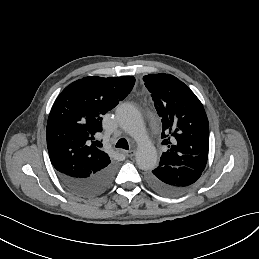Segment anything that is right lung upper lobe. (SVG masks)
I'll return each instance as SVG.
<instances>
[{"label": "right lung upper lobe", "instance_id": "1", "mask_svg": "<svg viewBox=\"0 0 259 259\" xmlns=\"http://www.w3.org/2000/svg\"><path fill=\"white\" fill-rule=\"evenodd\" d=\"M135 78L84 77L56 99L47 122V148L54 168L76 178L105 169L111 160L96 139L102 117L132 90Z\"/></svg>", "mask_w": 259, "mask_h": 259}]
</instances>
